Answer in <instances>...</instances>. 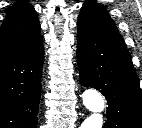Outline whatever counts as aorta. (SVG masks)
I'll list each match as a JSON object with an SVG mask.
<instances>
[{
    "instance_id": "obj_1",
    "label": "aorta",
    "mask_w": 142,
    "mask_h": 128,
    "mask_svg": "<svg viewBox=\"0 0 142 128\" xmlns=\"http://www.w3.org/2000/svg\"><path fill=\"white\" fill-rule=\"evenodd\" d=\"M82 101L84 106L92 114L82 122L80 128H102V113L105 109V102L102 95L94 89H88L82 94Z\"/></svg>"
}]
</instances>
